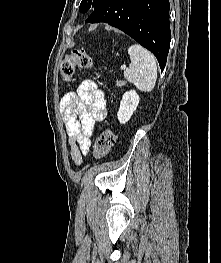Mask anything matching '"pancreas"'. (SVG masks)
<instances>
[{"label": "pancreas", "instance_id": "pancreas-1", "mask_svg": "<svg viewBox=\"0 0 221 263\" xmlns=\"http://www.w3.org/2000/svg\"><path fill=\"white\" fill-rule=\"evenodd\" d=\"M126 84V82L125 81H121V80H117L116 81V85L118 86V87H122V86H124Z\"/></svg>", "mask_w": 221, "mask_h": 263}]
</instances>
